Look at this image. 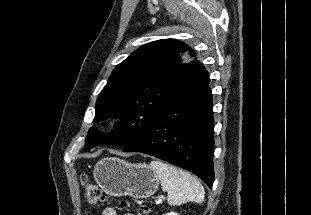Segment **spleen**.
I'll return each mask as SVG.
<instances>
[{
	"label": "spleen",
	"mask_w": 311,
	"mask_h": 215,
	"mask_svg": "<svg viewBox=\"0 0 311 215\" xmlns=\"http://www.w3.org/2000/svg\"><path fill=\"white\" fill-rule=\"evenodd\" d=\"M150 167L157 174L162 189L167 192L170 205L203 202L204 187L190 173L160 160L152 161Z\"/></svg>",
	"instance_id": "spleen-1"
}]
</instances>
